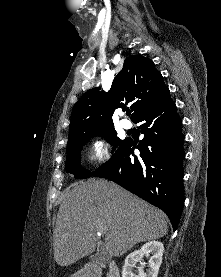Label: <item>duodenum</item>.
Here are the masks:
<instances>
[{"mask_svg": "<svg viewBox=\"0 0 221 277\" xmlns=\"http://www.w3.org/2000/svg\"><path fill=\"white\" fill-rule=\"evenodd\" d=\"M102 268L100 265L91 264L82 272L81 277H101ZM107 277H120L117 264L113 261L107 265Z\"/></svg>", "mask_w": 221, "mask_h": 277, "instance_id": "410a0bca", "label": "duodenum"}]
</instances>
